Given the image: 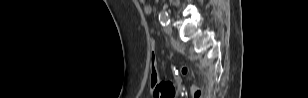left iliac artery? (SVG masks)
Wrapping results in <instances>:
<instances>
[{"label": "left iliac artery", "instance_id": "1", "mask_svg": "<svg viewBox=\"0 0 308 98\" xmlns=\"http://www.w3.org/2000/svg\"><path fill=\"white\" fill-rule=\"evenodd\" d=\"M159 21H160L161 25H163V26L168 25L170 23V18H169L167 11L162 10L159 13Z\"/></svg>", "mask_w": 308, "mask_h": 98}]
</instances>
